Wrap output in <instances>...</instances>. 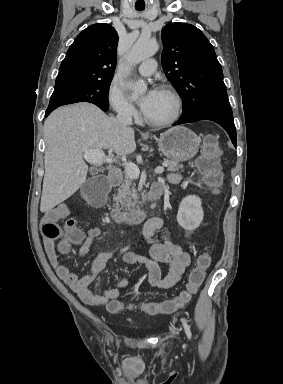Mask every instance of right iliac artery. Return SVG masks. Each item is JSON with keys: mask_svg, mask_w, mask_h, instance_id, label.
I'll return each instance as SVG.
<instances>
[{"mask_svg": "<svg viewBox=\"0 0 283 384\" xmlns=\"http://www.w3.org/2000/svg\"><path fill=\"white\" fill-rule=\"evenodd\" d=\"M127 249H128V247L124 248V249L122 250V252L126 251Z\"/></svg>", "mask_w": 283, "mask_h": 384, "instance_id": "82829eb1", "label": "right iliac artery"}]
</instances>
